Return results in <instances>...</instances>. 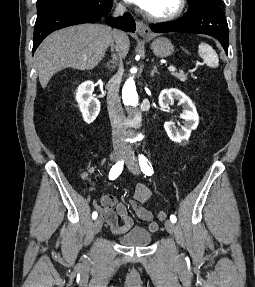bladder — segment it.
Wrapping results in <instances>:
<instances>
[{
    "label": "bladder",
    "mask_w": 255,
    "mask_h": 287,
    "mask_svg": "<svg viewBox=\"0 0 255 287\" xmlns=\"http://www.w3.org/2000/svg\"><path fill=\"white\" fill-rule=\"evenodd\" d=\"M118 240L122 245L128 247L146 246L152 241V233L142 226H135L119 236Z\"/></svg>",
    "instance_id": "bladder-1"
}]
</instances>
